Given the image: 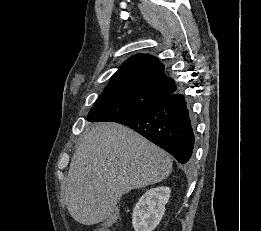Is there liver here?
Masks as SVG:
<instances>
[{
  "mask_svg": "<svg viewBox=\"0 0 261 231\" xmlns=\"http://www.w3.org/2000/svg\"><path fill=\"white\" fill-rule=\"evenodd\" d=\"M171 171L170 155L138 133L115 122L95 123L86 129L70 164L67 209L81 224L103 222L124 194L158 183Z\"/></svg>",
  "mask_w": 261,
  "mask_h": 231,
  "instance_id": "liver-1",
  "label": "liver"
}]
</instances>
